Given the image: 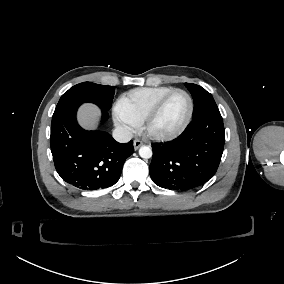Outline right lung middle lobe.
<instances>
[{"label":"right lung middle lobe","mask_w":284,"mask_h":284,"mask_svg":"<svg viewBox=\"0 0 284 284\" xmlns=\"http://www.w3.org/2000/svg\"><path fill=\"white\" fill-rule=\"evenodd\" d=\"M114 93V86L83 82L73 86L61 96L54 113L70 105H81L85 102L94 103L102 110H109L112 106Z\"/></svg>","instance_id":"obj_1"}]
</instances>
